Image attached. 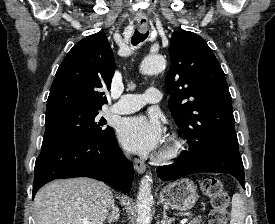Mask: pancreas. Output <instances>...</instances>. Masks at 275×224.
<instances>
[{"label":"pancreas","instance_id":"cf45deb5","mask_svg":"<svg viewBox=\"0 0 275 224\" xmlns=\"http://www.w3.org/2000/svg\"><path fill=\"white\" fill-rule=\"evenodd\" d=\"M202 218L201 216H196L194 219L190 220L188 224H201Z\"/></svg>","mask_w":275,"mask_h":224}]
</instances>
